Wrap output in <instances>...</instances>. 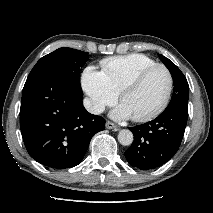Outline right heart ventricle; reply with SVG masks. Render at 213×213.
<instances>
[{"label": "right heart ventricle", "mask_w": 213, "mask_h": 213, "mask_svg": "<svg viewBox=\"0 0 213 213\" xmlns=\"http://www.w3.org/2000/svg\"><path fill=\"white\" fill-rule=\"evenodd\" d=\"M155 64L152 58L137 53L108 57L100 62L101 72L116 94L138 72Z\"/></svg>", "instance_id": "1"}]
</instances>
